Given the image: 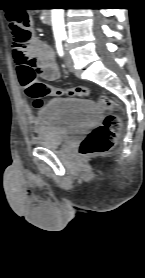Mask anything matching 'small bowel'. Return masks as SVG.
I'll return each mask as SVG.
<instances>
[{"label":"small bowel","instance_id":"obj_1","mask_svg":"<svg viewBox=\"0 0 145 278\" xmlns=\"http://www.w3.org/2000/svg\"><path fill=\"white\" fill-rule=\"evenodd\" d=\"M13 1V0H6ZM12 55L17 66V76L20 86L22 79L37 71L41 77L48 81L60 78V69L56 63L53 49L39 41H34L32 46L24 49L13 42ZM35 122V119H31Z\"/></svg>","mask_w":145,"mask_h":278}]
</instances>
